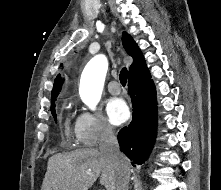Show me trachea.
<instances>
[{
    "label": "trachea",
    "instance_id": "obj_1",
    "mask_svg": "<svg viewBox=\"0 0 221 190\" xmlns=\"http://www.w3.org/2000/svg\"><path fill=\"white\" fill-rule=\"evenodd\" d=\"M127 77H128L127 69L123 68L120 72V75H119L120 83L123 86H125L127 83Z\"/></svg>",
    "mask_w": 221,
    "mask_h": 190
}]
</instances>
